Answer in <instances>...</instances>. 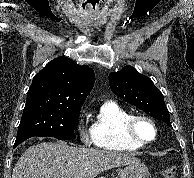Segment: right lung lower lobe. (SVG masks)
<instances>
[{
  "label": "right lung lower lobe",
  "mask_w": 194,
  "mask_h": 178,
  "mask_svg": "<svg viewBox=\"0 0 194 178\" xmlns=\"http://www.w3.org/2000/svg\"><path fill=\"white\" fill-rule=\"evenodd\" d=\"M28 138H30V137L16 139L15 144H14L13 147L15 148L16 146H18L20 143H22L23 141L27 140Z\"/></svg>",
  "instance_id": "obj_1"
}]
</instances>
